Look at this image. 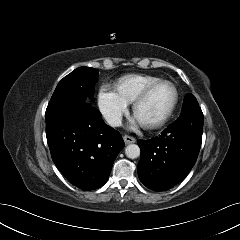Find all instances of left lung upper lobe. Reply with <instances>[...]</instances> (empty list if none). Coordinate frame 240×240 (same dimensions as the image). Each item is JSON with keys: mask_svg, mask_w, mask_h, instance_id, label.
Instances as JSON below:
<instances>
[{"mask_svg": "<svg viewBox=\"0 0 240 240\" xmlns=\"http://www.w3.org/2000/svg\"><path fill=\"white\" fill-rule=\"evenodd\" d=\"M191 107H199V104L192 94H188L184 99L182 111Z\"/></svg>", "mask_w": 240, "mask_h": 240, "instance_id": "5c2ea615", "label": "left lung upper lobe"}]
</instances>
